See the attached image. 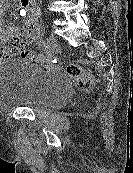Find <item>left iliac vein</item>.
<instances>
[{"label":"left iliac vein","instance_id":"left-iliac-vein-1","mask_svg":"<svg viewBox=\"0 0 133 173\" xmlns=\"http://www.w3.org/2000/svg\"><path fill=\"white\" fill-rule=\"evenodd\" d=\"M47 47L50 52L54 53L58 50L59 44L57 39L53 35H49L47 39Z\"/></svg>","mask_w":133,"mask_h":173}]
</instances>
